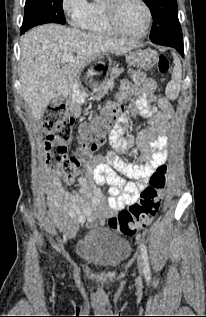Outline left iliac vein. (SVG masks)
Returning <instances> with one entry per match:
<instances>
[{"label": "left iliac vein", "instance_id": "left-iliac-vein-1", "mask_svg": "<svg viewBox=\"0 0 206 317\" xmlns=\"http://www.w3.org/2000/svg\"><path fill=\"white\" fill-rule=\"evenodd\" d=\"M137 264H138V269H139L140 273L143 274V272H144V262H143V259H142L141 256H138Z\"/></svg>", "mask_w": 206, "mask_h": 317}]
</instances>
